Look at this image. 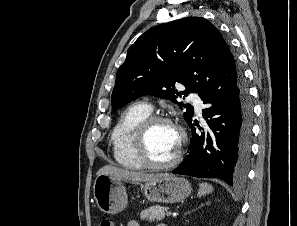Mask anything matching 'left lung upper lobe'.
I'll list each match as a JSON object with an SVG mask.
<instances>
[{
	"label": "left lung upper lobe",
	"mask_w": 297,
	"mask_h": 226,
	"mask_svg": "<svg viewBox=\"0 0 297 226\" xmlns=\"http://www.w3.org/2000/svg\"><path fill=\"white\" fill-rule=\"evenodd\" d=\"M241 76L235 58L220 32L209 21L187 17L158 25L128 49L112 92V109L146 94L170 99L186 108V122L192 119L191 105L176 99L200 94L210 86L235 85ZM186 87L179 90V85Z\"/></svg>",
	"instance_id": "obj_1"
}]
</instances>
